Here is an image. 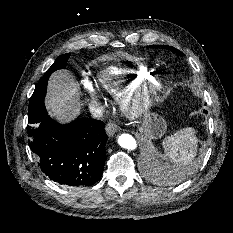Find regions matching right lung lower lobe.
<instances>
[{
    "mask_svg": "<svg viewBox=\"0 0 233 233\" xmlns=\"http://www.w3.org/2000/svg\"><path fill=\"white\" fill-rule=\"evenodd\" d=\"M47 81L36 87L46 90ZM107 138L102 121L81 118L60 125L46 115L29 145L51 180L73 187L90 186L103 173Z\"/></svg>",
    "mask_w": 233,
    "mask_h": 233,
    "instance_id": "obj_1",
    "label": "right lung lower lobe"
}]
</instances>
